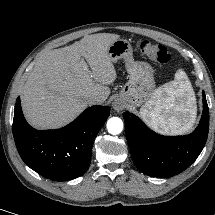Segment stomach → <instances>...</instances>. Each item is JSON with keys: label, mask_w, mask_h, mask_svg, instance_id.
Returning a JSON list of instances; mask_svg holds the SVG:
<instances>
[{"label": "stomach", "mask_w": 215, "mask_h": 215, "mask_svg": "<svg viewBox=\"0 0 215 215\" xmlns=\"http://www.w3.org/2000/svg\"><path fill=\"white\" fill-rule=\"evenodd\" d=\"M113 62L123 59L129 80L119 93V99L130 107H138L154 95V70L147 62L135 61L133 49L126 39H117L108 47Z\"/></svg>", "instance_id": "1"}]
</instances>
